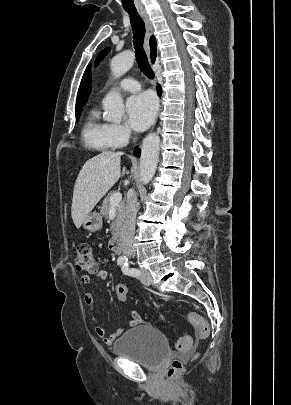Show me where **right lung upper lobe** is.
I'll list each match as a JSON object with an SVG mask.
<instances>
[{"mask_svg":"<svg viewBox=\"0 0 291 405\" xmlns=\"http://www.w3.org/2000/svg\"><path fill=\"white\" fill-rule=\"evenodd\" d=\"M150 47H151V60L152 62H155L156 59V41L154 37H151L150 39ZM89 68L84 72V75L82 77L80 87L77 93V100H76V109L77 108H82L86 101L87 98L89 97V94L91 92V76H90V71Z\"/></svg>","mask_w":291,"mask_h":405,"instance_id":"obj_1","label":"right lung upper lobe"}]
</instances>
